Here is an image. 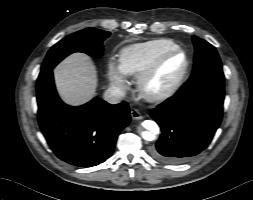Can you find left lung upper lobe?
Wrapping results in <instances>:
<instances>
[{
    "label": "left lung upper lobe",
    "instance_id": "1",
    "mask_svg": "<svg viewBox=\"0 0 253 200\" xmlns=\"http://www.w3.org/2000/svg\"><path fill=\"white\" fill-rule=\"evenodd\" d=\"M192 39L195 46L194 67L190 78L182 86L183 89L187 91L205 80L224 82L222 65L216 49L196 36H192Z\"/></svg>",
    "mask_w": 253,
    "mask_h": 200
}]
</instances>
